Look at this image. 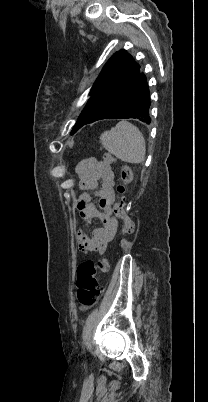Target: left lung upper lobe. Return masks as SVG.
<instances>
[{"label": "left lung upper lobe", "mask_w": 208, "mask_h": 402, "mask_svg": "<svg viewBox=\"0 0 208 402\" xmlns=\"http://www.w3.org/2000/svg\"><path fill=\"white\" fill-rule=\"evenodd\" d=\"M140 74L136 64L126 50L116 52L104 65L93 84L85 108L81 112L71 134L87 123L97 121L99 117L126 92Z\"/></svg>", "instance_id": "left-lung-upper-lobe-1"}]
</instances>
